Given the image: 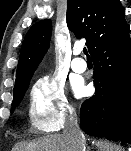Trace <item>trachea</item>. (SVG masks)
<instances>
[{
	"mask_svg": "<svg viewBox=\"0 0 131 151\" xmlns=\"http://www.w3.org/2000/svg\"><path fill=\"white\" fill-rule=\"evenodd\" d=\"M83 52H84V54L87 56V59H90V56L88 55V52H87V49H86V48L83 49Z\"/></svg>",
	"mask_w": 131,
	"mask_h": 151,
	"instance_id": "3493384b",
	"label": "trachea"
}]
</instances>
